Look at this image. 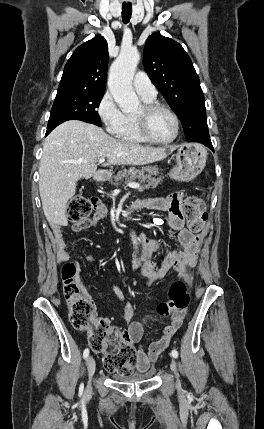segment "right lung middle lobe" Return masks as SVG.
Segmentation results:
<instances>
[{"label":"right lung middle lobe","instance_id":"1","mask_svg":"<svg viewBox=\"0 0 264 429\" xmlns=\"http://www.w3.org/2000/svg\"><path fill=\"white\" fill-rule=\"evenodd\" d=\"M103 95L104 92L58 91L51 109L46 135L67 120H81L101 126L96 108L99 107Z\"/></svg>","mask_w":264,"mask_h":429}]
</instances>
